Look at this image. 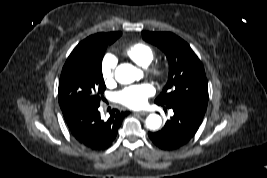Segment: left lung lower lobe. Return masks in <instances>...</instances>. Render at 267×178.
Segmentation results:
<instances>
[{
	"mask_svg": "<svg viewBox=\"0 0 267 178\" xmlns=\"http://www.w3.org/2000/svg\"><path fill=\"white\" fill-rule=\"evenodd\" d=\"M164 110L172 109L174 115L167 120L165 126L157 132H149L148 136L158 148L175 150L187 144L199 129L203 117L192 110L181 106H163Z\"/></svg>",
	"mask_w": 267,
	"mask_h": 178,
	"instance_id": "obj_1",
	"label": "left lung lower lobe"
}]
</instances>
